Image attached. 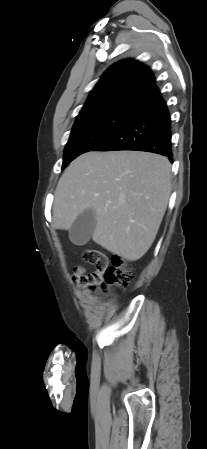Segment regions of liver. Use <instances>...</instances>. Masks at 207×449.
<instances>
[{"instance_id": "1", "label": "liver", "mask_w": 207, "mask_h": 449, "mask_svg": "<svg viewBox=\"0 0 207 449\" xmlns=\"http://www.w3.org/2000/svg\"><path fill=\"white\" fill-rule=\"evenodd\" d=\"M171 193V164L140 151L88 152L61 176L53 205V227L71 228L91 209L93 241L126 259H140L151 247Z\"/></svg>"}]
</instances>
